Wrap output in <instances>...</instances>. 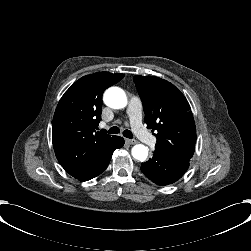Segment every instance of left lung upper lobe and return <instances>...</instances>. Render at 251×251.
Wrapping results in <instances>:
<instances>
[{
  "instance_id": "1",
  "label": "left lung upper lobe",
  "mask_w": 251,
  "mask_h": 251,
  "mask_svg": "<svg viewBox=\"0 0 251 251\" xmlns=\"http://www.w3.org/2000/svg\"><path fill=\"white\" fill-rule=\"evenodd\" d=\"M147 127L157 131L155 151L190 160L196 128L190 105L170 82L155 76H134Z\"/></svg>"
}]
</instances>
